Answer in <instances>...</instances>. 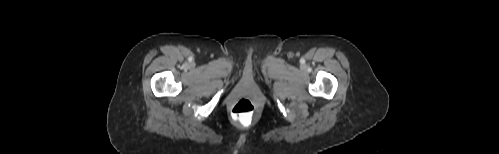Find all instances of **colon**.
I'll return each instance as SVG.
<instances>
[{
	"mask_svg": "<svg viewBox=\"0 0 499 154\" xmlns=\"http://www.w3.org/2000/svg\"><path fill=\"white\" fill-rule=\"evenodd\" d=\"M254 113V103L246 98L238 100L231 109L232 119L242 125L250 124L252 122Z\"/></svg>",
	"mask_w": 499,
	"mask_h": 154,
	"instance_id": "1",
	"label": "colon"
}]
</instances>
